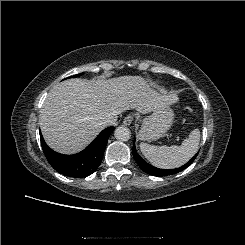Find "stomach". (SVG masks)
Segmentation results:
<instances>
[{"label": "stomach", "instance_id": "obj_1", "mask_svg": "<svg viewBox=\"0 0 245 245\" xmlns=\"http://www.w3.org/2000/svg\"><path fill=\"white\" fill-rule=\"evenodd\" d=\"M174 122V113L169 106L157 109L144 118L139 130V138L143 141L157 140L164 136Z\"/></svg>", "mask_w": 245, "mask_h": 245}]
</instances>
